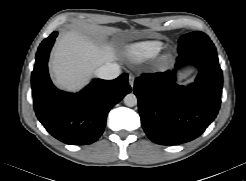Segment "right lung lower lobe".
Returning <instances> with one entry per match:
<instances>
[{"mask_svg": "<svg viewBox=\"0 0 246 181\" xmlns=\"http://www.w3.org/2000/svg\"><path fill=\"white\" fill-rule=\"evenodd\" d=\"M57 32L39 46L31 76L36 115L56 139L70 145L95 142L102 134L110 109L131 91L128 75L114 80H93L79 93H66L52 84L47 68Z\"/></svg>", "mask_w": 246, "mask_h": 181, "instance_id": "98d812e1", "label": "right lung lower lobe"}]
</instances>
